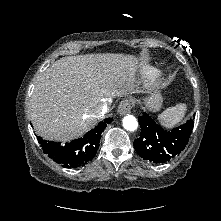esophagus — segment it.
I'll return each instance as SVG.
<instances>
[{
    "mask_svg": "<svg viewBox=\"0 0 221 221\" xmlns=\"http://www.w3.org/2000/svg\"><path fill=\"white\" fill-rule=\"evenodd\" d=\"M132 108V103L131 101L125 99L123 101L120 102L119 106H118V113L120 115H124L126 113H129L130 110Z\"/></svg>",
    "mask_w": 221,
    "mask_h": 221,
    "instance_id": "obj_1",
    "label": "esophagus"
}]
</instances>
